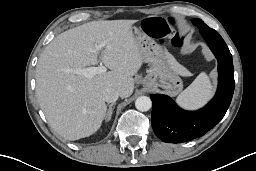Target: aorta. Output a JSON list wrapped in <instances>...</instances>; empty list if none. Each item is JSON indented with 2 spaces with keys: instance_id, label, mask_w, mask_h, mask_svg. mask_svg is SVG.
I'll return each instance as SVG.
<instances>
[{
  "instance_id": "aorta-1",
  "label": "aorta",
  "mask_w": 256,
  "mask_h": 171,
  "mask_svg": "<svg viewBox=\"0 0 256 171\" xmlns=\"http://www.w3.org/2000/svg\"><path fill=\"white\" fill-rule=\"evenodd\" d=\"M152 106V101L147 96H141L138 97L135 101V107L137 110L146 112L148 111Z\"/></svg>"
}]
</instances>
